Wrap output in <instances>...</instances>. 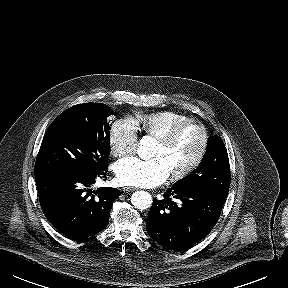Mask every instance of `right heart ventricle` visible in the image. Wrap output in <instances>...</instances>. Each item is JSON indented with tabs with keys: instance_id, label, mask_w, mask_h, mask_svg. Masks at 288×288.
Instances as JSON below:
<instances>
[{
	"instance_id": "1",
	"label": "right heart ventricle",
	"mask_w": 288,
	"mask_h": 288,
	"mask_svg": "<svg viewBox=\"0 0 288 288\" xmlns=\"http://www.w3.org/2000/svg\"><path fill=\"white\" fill-rule=\"evenodd\" d=\"M189 117L175 111H160L145 115H138L133 120L138 128L146 135L158 138L170 127Z\"/></svg>"
}]
</instances>
